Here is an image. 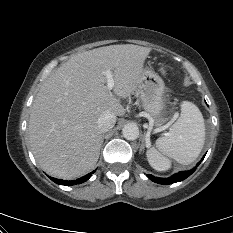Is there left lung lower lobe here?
I'll list each match as a JSON object with an SVG mask.
<instances>
[{"label": "left lung lower lobe", "mask_w": 233, "mask_h": 233, "mask_svg": "<svg viewBox=\"0 0 233 233\" xmlns=\"http://www.w3.org/2000/svg\"><path fill=\"white\" fill-rule=\"evenodd\" d=\"M200 163H201V161L197 164V166ZM196 167L193 168L192 170H189V171L178 172L169 178H158V177H154L153 175H150V174H148L147 177L156 183L168 185V184H172V183L179 182V181L186 179L188 176H190L196 170Z\"/></svg>", "instance_id": "1"}]
</instances>
